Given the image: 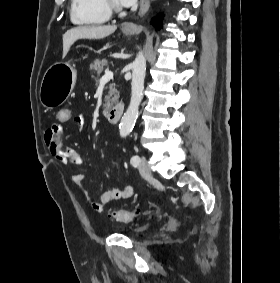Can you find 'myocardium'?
<instances>
[{"mask_svg": "<svg viewBox=\"0 0 280 283\" xmlns=\"http://www.w3.org/2000/svg\"><path fill=\"white\" fill-rule=\"evenodd\" d=\"M103 4L106 8V10L111 13H121L123 11V8L121 5L117 4L114 0H103Z\"/></svg>", "mask_w": 280, "mask_h": 283, "instance_id": "f54148a6", "label": "myocardium"}]
</instances>
